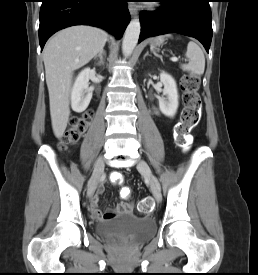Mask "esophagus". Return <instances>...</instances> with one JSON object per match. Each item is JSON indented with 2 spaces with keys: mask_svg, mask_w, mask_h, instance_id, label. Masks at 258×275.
Masks as SVG:
<instances>
[{
  "mask_svg": "<svg viewBox=\"0 0 258 275\" xmlns=\"http://www.w3.org/2000/svg\"><path fill=\"white\" fill-rule=\"evenodd\" d=\"M128 9L132 16L136 15L138 12V7L134 3H129Z\"/></svg>",
  "mask_w": 258,
  "mask_h": 275,
  "instance_id": "34e87169",
  "label": "esophagus"
}]
</instances>
